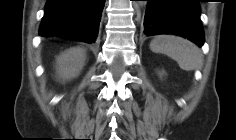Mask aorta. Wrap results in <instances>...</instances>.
<instances>
[{"instance_id":"aorta-1","label":"aorta","mask_w":236,"mask_h":140,"mask_svg":"<svg viewBox=\"0 0 236 140\" xmlns=\"http://www.w3.org/2000/svg\"><path fill=\"white\" fill-rule=\"evenodd\" d=\"M138 3L141 4V5H143V4H145L146 2H145V1H139Z\"/></svg>"}]
</instances>
